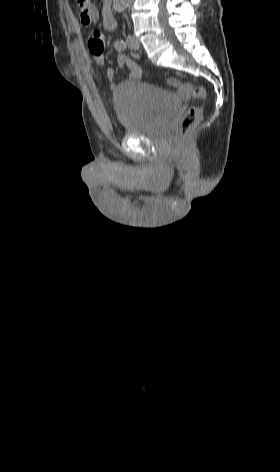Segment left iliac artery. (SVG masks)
Masks as SVG:
<instances>
[{
  "instance_id": "44dca946",
  "label": "left iliac artery",
  "mask_w": 280,
  "mask_h": 472,
  "mask_svg": "<svg viewBox=\"0 0 280 472\" xmlns=\"http://www.w3.org/2000/svg\"><path fill=\"white\" fill-rule=\"evenodd\" d=\"M115 48H116L117 50H119V51L125 50L126 44L124 43L123 40H117V41L115 42Z\"/></svg>"
}]
</instances>
